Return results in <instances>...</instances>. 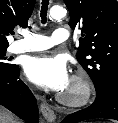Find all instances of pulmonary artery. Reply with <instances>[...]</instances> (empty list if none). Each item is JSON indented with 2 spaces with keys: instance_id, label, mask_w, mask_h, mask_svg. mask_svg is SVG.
I'll return each instance as SVG.
<instances>
[{
  "instance_id": "e3ab8cb5",
  "label": "pulmonary artery",
  "mask_w": 118,
  "mask_h": 123,
  "mask_svg": "<svg viewBox=\"0 0 118 123\" xmlns=\"http://www.w3.org/2000/svg\"><path fill=\"white\" fill-rule=\"evenodd\" d=\"M69 38L67 29L59 27L54 30L50 37L25 32L23 33V39L15 42L10 47L11 53H24L42 51L51 48L54 44L62 43Z\"/></svg>"
}]
</instances>
